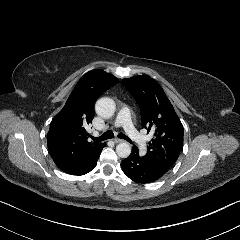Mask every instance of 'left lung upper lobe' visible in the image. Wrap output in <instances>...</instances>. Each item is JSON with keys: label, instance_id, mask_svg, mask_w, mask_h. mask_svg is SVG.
I'll list each match as a JSON object with an SVG mask.
<instances>
[{"label": "left lung upper lobe", "instance_id": "5c2ea615", "mask_svg": "<svg viewBox=\"0 0 240 240\" xmlns=\"http://www.w3.org/2000/svg\"><path fill=\"white\" fill-rule=\"evenodd\" d=\"M123 82L140 106L142 127L154 134L145 157L156 165L171 168L182 150L184 135L172 104L158 82L148 76H135Z\"/></svg>", "mask_w": 240, "mask_h": 240}]
</instances>
